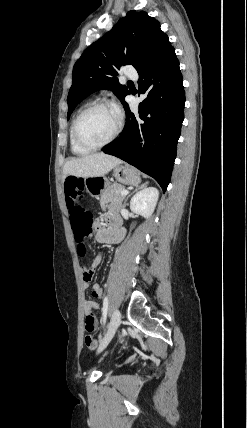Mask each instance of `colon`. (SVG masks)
<instances>
[{
	"instance_id": "obj_1",
	"label": "colon",
	"mask_w": 247,
	"mask_h": 428,
	"mask_svg": "<svg viewBox=\"0 0 247 428\" xmlns=\"http://www.w3.org/2000/svg\"><path fill=\"white\" fill-rule=\"evenodd\" d=\"M64 190L66 211L70 213L72 217L74 236L79 243L78 252L83 256L86 251L84 240L92 230L91 210L88 204H86V200L83 199V182L76 177H67L64 181ZM85 306L88 309H95L98 307V302L95 300H87ZM91 313H94V310H91ZM91 316L93 317L94 315L92 314ZM84 326L88 333L84 337V342L88 348L94 349L97 345V341L92 334H94L97 329L98 319L87 317L84 320Z\"/></svg>"
}]
</instances>
